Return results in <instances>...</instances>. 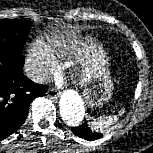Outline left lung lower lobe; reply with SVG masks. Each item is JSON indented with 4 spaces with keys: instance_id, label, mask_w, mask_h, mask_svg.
Listing matches in <instances>:
<instances>
[{
    "instance_id": "left-lung-lower-lobe-1",
    "label": "left lung lower lobe",
    "mask_w": 153,
    "mask_h": 153,
    "mask_svg": "<svg viewBox=\"0 0 153 153\" xmlns=\"http://www.w3.org/2000/svg\"><path fill=\"white\" fill-rule=\"evenodd\" d=\"M71 131L75 135H77L85 140H96V139H100L103 136L101 133L92 131L89 128L87 122H84L82 125H80L78 127H72Z\"/></svg>"
}]
</instances>
